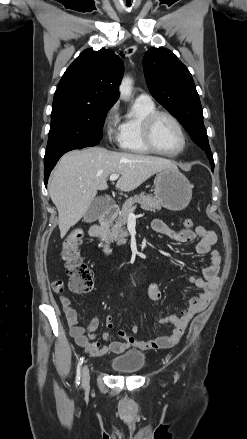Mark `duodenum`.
<instances>
[{
	"mask_svg": "<svg viewBox=\"0 0 247 439\" xmlns=\"http://www.w3.org/2000/svg\"><path fill=\"white\" fill-rule=\"evenodd\" d=\"M117 211V205L111 204L89 230L90 235L100 242L102 250L105 254L111 253V248L106 238V227L115 218Z\"/></svg>",
	"mask_w": 247,
	"mask_h": 439,
	"instance_id": "1",
	"label": "duodenum"
}]
</instances>
